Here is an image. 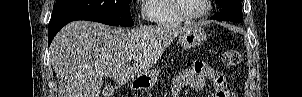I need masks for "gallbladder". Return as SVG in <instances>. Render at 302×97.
<instances>
[{
	"label": "gallbladder",
	"instance_id": "1",
	"mask_svg": "<svg viewBox=\"0 0 302 97\" xmlns=\"http://www.w3.org/2000/svg\"><path fill=\"white\" fill-rule=\"evenodd\" d=\"M114 87L111 85H106L105 88L103 89V95L104 97H110L113 92H114Z\"/></svg>",
	"mask_w": 302,
	"mask_h": 97
}]
</instances>
